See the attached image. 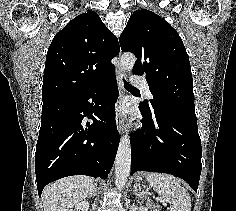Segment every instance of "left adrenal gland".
I'll use <instances>...</instances> for the list:
<instances>
[{
	"label": "left adrenal gland",
	"instance_id": "1",
	"mask_svg": "<svg viewBox=\"0 0 236 211\" xmlns=\"http://www.w3.org/2000/svg\"><path fill=\"white\" fill-rule=\"evenodd\" d=\"M141 187L139 183H135L133 186V194L138 198L141 196Z\"/></svg>",
	"mask_w": 236,
	"mask_h": 211
}]
</instances>
